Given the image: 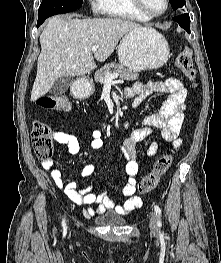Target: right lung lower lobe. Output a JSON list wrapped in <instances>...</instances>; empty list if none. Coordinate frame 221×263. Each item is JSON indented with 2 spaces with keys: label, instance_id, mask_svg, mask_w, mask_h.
<instances>
[{
  "label": "right lung lower lobe",
  "instance_id": "right-lung-lower-lobe-1",
  "mask_svg": "<svg viewBox=\"0 0 221 263\" xmlns=\"http://www.w3.org/2000/svg\"><path fill=\"white\" fill-rule=\"evenodd\" d=\"M45 19H46V18L38 19L37 27H39V26L45 21Z\"/></svg>",
  "mask_w": 221,
  "mask_h": 263
}]
</instances>
